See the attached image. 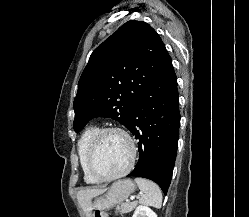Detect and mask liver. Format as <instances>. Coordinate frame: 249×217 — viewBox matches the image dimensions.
<instances>
[{
    "mask_svg": "<svg viewBox=\"0 0 249 217\" xmlns=\"http://www.w3.org/2000/svg\"><path fill=\"white\" fill-rule=\"evenodd\" d=\"M106 189H101V188H92V189H86V190H81L77 194V199L82 207L83 211L86 213L87 217H91V200L105 192Z\"/></svg>",
    "mask_w": 249,
    "mask_h": 217,
    "instance_id": "liver-1",
    "label": "liver"
}]
</instances>
